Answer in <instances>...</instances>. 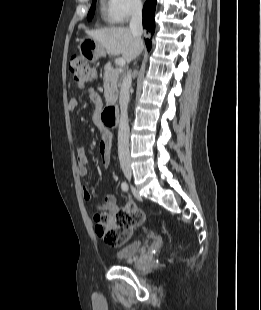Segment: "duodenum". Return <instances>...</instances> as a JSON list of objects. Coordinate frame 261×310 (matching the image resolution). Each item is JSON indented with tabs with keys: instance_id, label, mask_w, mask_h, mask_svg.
<instances>
[{
	"instance_id": "1",
	"label": "duodenum",
	"mask_w": 261,
	"mask_h": 310,
	"mask_svg": "<svg viewBox=\"0 0 261 310\" xmlns=\"http://www.w3.org/2000/svg\"><path fill=\"white\" fill-rule=\"evenodd\" d=\"M103 123L108 127H114L117 123V107L114 104L107 105L101 114Z\"/></svg>"
}]
</instances>
